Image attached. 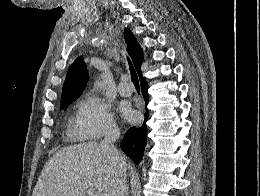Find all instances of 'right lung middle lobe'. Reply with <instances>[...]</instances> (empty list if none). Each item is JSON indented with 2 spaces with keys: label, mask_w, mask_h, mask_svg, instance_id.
<instances>
[{
  "label": "right lung middle lobe",
  "mask_w": 260,
  "mask_h": 196,
  "mask_svg": "<svg viewBox=\"0 0 260 196\" xmlns=\"http://www.w3.org/2000/svg\"><path fill=\"white\" fill-rule=\"evenodd\" d=\"M67 106H68V105H67ZM67 106H65V107H62L61 109H62V110H66Z\"/></svg>",
  "instance_id": "obj_1"
}]
</instances>
